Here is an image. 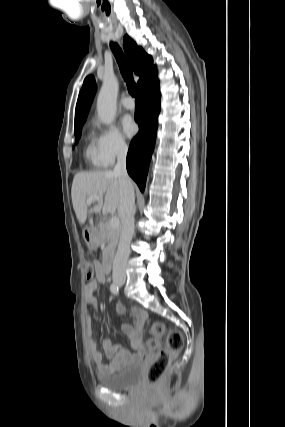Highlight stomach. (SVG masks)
<instances>
[{
    "label": "stomach",
    "instance_id": "1",
    "mask_svg": "<svg viewBox=\"0 0 285 427\" xmlns=\"http://www.w3.org/2000/svg\"><path fill=\"white\" fill-rule=\"evenodd\" d=\"M83 237L90 249H96L101 243V238L97 228H86L83 230Z\"/></svg>",
    "mask_w": 285,
    "mask_h": 427
}]
</instances>
